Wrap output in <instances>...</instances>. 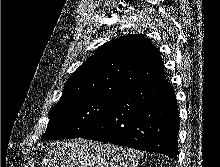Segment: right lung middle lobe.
Returning a JSON list of instances; mask_svg holds the SVG:
<instances>
[{
    "mask_svg": "<svg viewBox=\"0 0 220 167\" xmlns=\"http://www.w3.org/2000/svg\"><path fill=\"white\" fill-rule=\"evenodd\" d=\"M114 97L75 96L60 99L50 110V120L43 138H78L88 132L105 115Z\"/></svg>",
    "mask_w": 220,
    "mask_h": 167,
    "instance_id": "right-lung-middle-lobe-1",
    "label": "right lung middle lobe"
}]
</instances>
